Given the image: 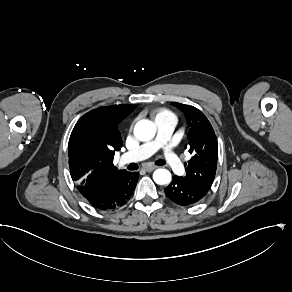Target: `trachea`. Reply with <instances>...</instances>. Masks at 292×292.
Instances as JSON below:
<instances>
[{"label":"trachea","instance_id":"trachea-1","mask_svg":"<svg viewBox=\"0 0 292 292\" xmlns=\"http://www.w3.org/2000/svg\"><path fill=\"white\" fill-rule=\"evenodd\" d=\"M154 164H156V165H158V166L165 165V161L162 160V159H159V160H156V161L154 162ZM138 168H139V166H138V164H136V163H131V164H129V166H128V169H129V170H137Z\"/></svg>","mask_w":292,"mask_h":292}]
</instances>
